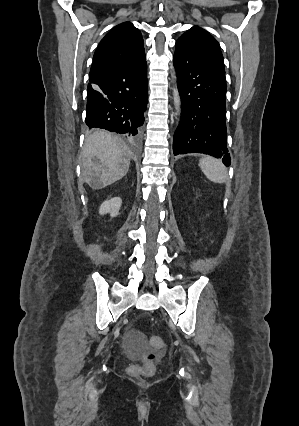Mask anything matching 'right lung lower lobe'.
<instances>
[{
    "instance_id": "obj_1",
    "label": "right lung lower lobe",
    "mask_w": 299,
    "mask_h": 426,
    "mask_svg": "<svg viewBox=\"0 0 299 426\" xmlns=\"http://www.w3.org/2000/svg\"><path fill=\"white\" fill-rule=\"evenodd\" d=\"M86 124L139 137L147 104V63L90 75Z\"/></svg>"
}]
</instances>
